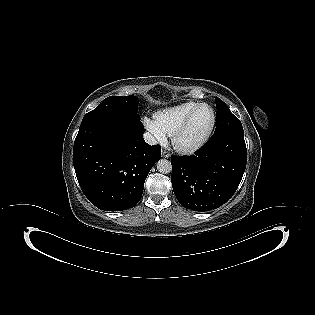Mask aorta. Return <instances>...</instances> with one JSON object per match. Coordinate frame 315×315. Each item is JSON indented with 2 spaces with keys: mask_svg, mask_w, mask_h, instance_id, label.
I'll return each mask as SVG.
<instances>
[{
  "mask_svg": "<svg viewBox=\"0 0 315 315\" xmlns=\"http://www.w3.org/2000/svg\"><path fill=\"white\" fill-rule=\"evenodd\" d=\"M157 170L160 173L167 174L172 170L171 162L167 159H161L157 162Z\"/></svg>",
  "mask_w": 315,
  "mask_h": 315,
  "instance_id": "1",
  "label": "aorta"
}]
</instances>
